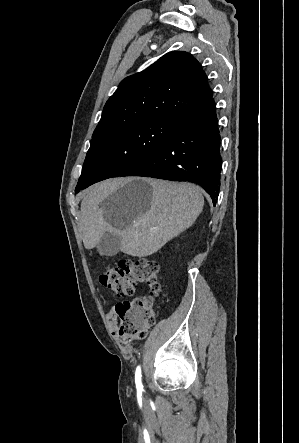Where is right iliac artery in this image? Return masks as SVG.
<instances>
[{
    "mask_svg": "<svg viewBox=\"0 0 299 443\" xmlns=\"http://www.w3.org/2000/svg\"><path fill=\"white\" fill-rule=\"evenodd\" d=\"M141 376H142L141 375V367L137 366L136 371H135V383H136V388H137L138 393H141L143 391Z\"/></svg>",
    "mask_w": 299,
    "mask_h": 443,
    "instance_id": "right-iliac-artery-1",
    "label": "right iliac artery"
}]
</instances>
